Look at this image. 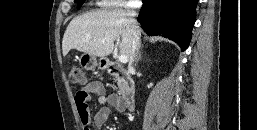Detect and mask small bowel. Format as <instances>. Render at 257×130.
Instances as JSON below:
<instances>
[{"mask_svg": "<svg viewBox=\"0 0 257 130\" xmlns=\"http://www.w3.org/2000/svg\"><path fill=\"white\" fill-rule=\"evenodd\" d=\"M92 96H97L98 102L102 105L107 104L119 111L123 110L122 98L119 94H107L103 84L98 81L86 83L82 89L76 92L74 98L84 130L101 129L110 116L108 106H103L93 117L90 116L88 102Z\"/></svg>", "mask_w": 257, "mask_h": 130, "instance_id": "c3829d8e", "label": "small bowel"}]
</instances>
